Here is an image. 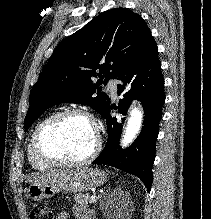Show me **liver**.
Listing matches in <instances>:
<instances>
[{"label": "liver", "mask_w": 211, "mask_h": 219, "mask_svg": "<svg viewBox=\"0 0 211 219\" xmlns=\"http://www.w3.org/2000/svg\"><path fill=\"white\" fill-rule=\"evenodd\" d=\"M75 173H76L75 170L49 172L48 174L34 177L32 180H30V183L32 184L58 183L70 179Z\"/></svg>", "instance_id": "6515ba94"}]
</instances>
